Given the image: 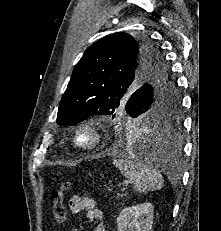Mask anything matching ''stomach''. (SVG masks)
Segmentation results:
<instances>
[{"label": "stomach", "instance_id": "obj_1", "mask_svg": "<svg viewBox=\"0 0 221 231\" xmlns=\"http://www.w3.org/2000/svg\"><path fill=\"white\" fill-rule=\"evenodd\" d=\"M143 126H136L135 128H132V129H139V130H142Z\"/></svg>", "mask_w": 221, "mask_h": 231}]
</instances>
